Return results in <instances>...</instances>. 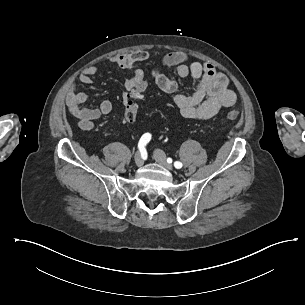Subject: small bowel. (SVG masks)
<instances>
[{"label":"small bowel","instance_id":"small-bowel-1","mask_svg":"<svg viewBox=\"0 0 305 305\" xmlns=\"http://www.w3.org/2000/svg\"><path fill=\"white\" fill-rule=\"evenodd\" d=\"M149 53L139 50L130 54H117L107 58V62L121 69L133 70L130 79L124 82L125 92L122 95V103L126 108L128 96L139 83H146L145 74L138 64L147 60ZM188 56L181 51L171 52L164 56L163 65L176 67L179 77L191 76L195 82V90L190 95L175 94L173 101L180 114L187 119L208 120L214 117L222 108L231 107L236 102V94L228 87V78L215 67L205 62H193L186 64ZM101 71L99 66H89L83 70L79 82L85 85L93 84V77ZM151 75L156 85L166 93H174L178 89V82L167 77L157 70H152ZM88 100V95L76 90V84L72 83L67 93L66 104L71 115L78 119L81 130L91 131L94 121L108 115L112 109V102L103 100L96 108H84L82 104Z\"/></svg>","mask_w":305,"mask_h":305}]
</instances>
